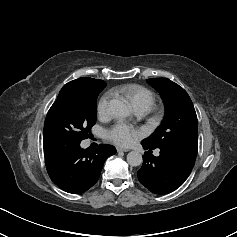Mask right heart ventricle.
I'll return each instance as SVG.
<instances>
[{"label": "right heart ventricle", "mask_w": 237, "mask_h": 237, "mask_svg": "<svg viewBox=\"0 0 237 237\" xmlns=\"http://www.w3.org/2000/svg\"><path fill=\"white\" fill-rule=\"evenodd\" d=\"M124 95L134 108L143 107L150 110L154 105V96L150 90L138 84H125L117 89Z\"/></svg>", "instance_id": "e07e8e85"}]
</instances>
